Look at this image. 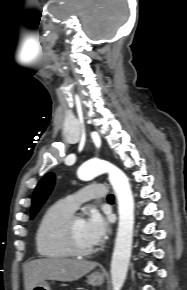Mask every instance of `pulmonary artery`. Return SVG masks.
I'll return each instance as SVG.
<instances>
[{
  "label": "pulmonary artery",
  "mask_w": 187,
  "mask_h": 290,
  "mask_svg": "<svg viewBox=\"0 0 187 290\" xmlns=\"http://www.w3.org/2000/svg\"><path fill=\"white\" fill-rule=\"evenodd\" d=\"M107 189L100 184H89L82 189L68 195L63 199L66 205L72 210H76L81 203L92 198H105Z\"/></svg>",
  "instance_id": "obj_1"
}]
</instances>
